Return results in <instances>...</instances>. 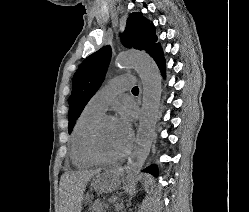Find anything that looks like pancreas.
Listing matches in <instances>:
<instances>
[{
  "instance_id": "cf45deb5",
  "label": "pancreas",
  "mask_w": 249,
  "mask_h": 212,
  "mask_svg": "<svg viewBox=\"0 0 249 212\" xmlns=\"http://www.w3.org/2000/svg\"><path fill=\"white\" fill-rule=\"evenodd\" d=\"M92 212H104V208L102 204H99V202H96V204H93Z\"/></svg>"
}]
</instances>
